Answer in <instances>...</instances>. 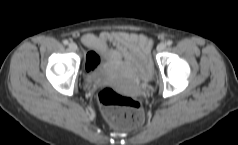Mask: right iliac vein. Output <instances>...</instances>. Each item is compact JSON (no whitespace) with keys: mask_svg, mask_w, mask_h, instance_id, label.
Instances as JSON below:
<instances>
[{"mask_svg":"<svg viewBox=\"0 0 238 145\" xmlns=\"http://www.w3.org/2000/svg\"><path fill=\"white\" fill-rule=\"evenodd\" d=\"M69 48H70V50H72V51H76V50H77V45H76V43L71 42V43L69 44Z\"/></svg>","mask_w":238,"mask_h":145,"instance_id":"right-iliac-vein-1","label":"right iliac vein"}]
</instances>
